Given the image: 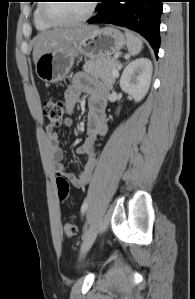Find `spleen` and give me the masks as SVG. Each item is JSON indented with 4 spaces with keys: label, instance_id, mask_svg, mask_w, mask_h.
<instances>
[{
    "label": "spleen",
    "instance_id": "3e777b00",
    "mask_svg": "<svg viewBox=\"0 0 195 299\" xmlns=\"http://www.w3.org/2000/svg\"><path fill=\"white\" fill-rule=\"evenodd\" d=\"M126 38H127V49L130 53V55L135 56L138 53H140V51L143 48V41L141 39V37L133 34L130 31H126Z\"/></svg>",
    "mask_w": 195,
    "mask_h": 299
}]
</instances>
